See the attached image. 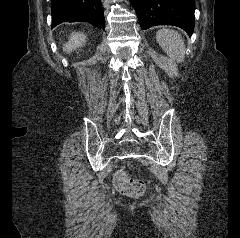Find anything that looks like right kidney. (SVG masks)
<instances>
[{"mask_svg":"<svg viewBox=\"0 0 240 238\" xmlns=\"http://www.w3.org/2000/svg\"><path fill=\"white\" fill-rule=\"evenodd\" d=\"M86 42V36L83 33H72L69 42L66 43L63 47L65 52H70L76 48L81 47Z\"/></svg>","mask_w":240,"mask_h":238,"instance_id":"right-kidney-1","label":"right kidney"}]
</instances>
